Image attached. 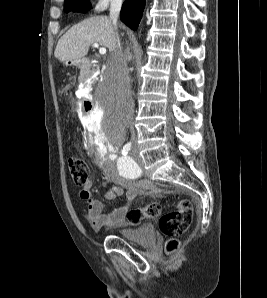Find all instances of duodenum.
Here are the masks:
<instances>
[{
  "label": "duodenum",
  "mask_w": 267,
  "mask_h": 298,
  "mask_svg": "<svg viewBox=\"0 0 267 298\" xmlns=\"http://www.w3.org/2000/svg\"><path fill=\"white\" fill-rule=\"evenodd\" d=\"M92 64V61L87 58L79 59L75 62V65L81 69H88ZM85 76H90V71L84 72ZM94 79L98 78L97 74L93 75ZM91 98H97V93H89V97H84V100H80V105H83V115H93V100Z\"/></svg>",
  "instance_id": "1"
}]
</instances>
